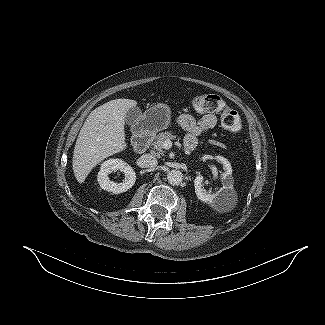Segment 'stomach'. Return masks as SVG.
<instances>
[{"mask_svg": "<svg viewBox=\"0 0 325 325\" xmlns=\"http://www.w3.org/2000/svg\"><path fill=\"white\" fill-rule=\"evenodd\" d=\"M170 108L166 104H156L150 107L139 119L140 128L158 132L170 124Z\"/></svg>", "mask_w": 325, "mask_h": 325, "instance_id": "stomach-1", "label": "stomach"}]
</instances>
